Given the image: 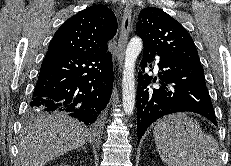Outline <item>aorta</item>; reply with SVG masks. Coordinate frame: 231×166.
Instances as JSON below:
<instances>
[{"label":"aorta","instance_id":"aorta-1","mask_svg":"<svg viewBox=\"0 0 231 166\" xmlns=\"http://www.w3.org/2000/svg\"><path fill=\"white\" fill-rule=\"evenodd\" d=\"M143 48L142 40L133 37L127 45L122 79V102L124 112L131 116L135 107L134 68L137 57Z\"/></svg>","mask_w":231,"mask_h":166}]
</instances>
